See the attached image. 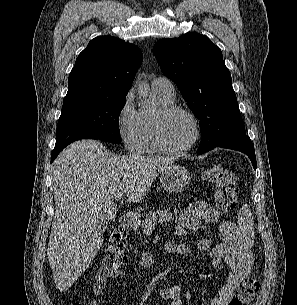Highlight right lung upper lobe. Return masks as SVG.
I'll return each mask as SVG.
<instances>
[{"label":"right lung upper lobe","mask_w":297,"mask_h":305,"mask_svg":"<svg viewBox=\"0 0 297 305\" xmlns=\"http://www.w3.org/2000/svg\"><path fill=\"white\" fill-rule=\"evenodd\" d=\"M143 59L141 50L111 36L96 37L76 59L63 102L126 96Z\"/></svg>","instance_id":"right-lung-upper-lobe-1"}]
</instances>
